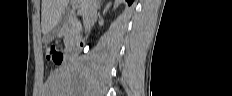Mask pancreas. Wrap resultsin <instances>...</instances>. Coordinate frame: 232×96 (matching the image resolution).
Returning a JSON list of instances; mask_svg holds the SVG:
<instances>
[{
    "label": "pancreas",
    "instance_id": "cf45deb5",
    "mask_svg": "<svg viewBox=\"0 0 232 96\" xmlns=\"http://www.w3.org/2000/svg\"><path fill=\"white\" fill-rule=\"evenodd\" d=\"M76 43V39L71 36L70 34H68V32H65V35H64V44L66 46V48L68 47H73Z\"/></svg>",
    "mask_w": 232,
    "mask_h": 96
}]
</instances>
